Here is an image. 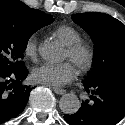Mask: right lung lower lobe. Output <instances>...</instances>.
Instances as JSON below:
<instances>
[{
  "label": "right lung lower lobe",
  "mask_w": 125,
  "mask_h": 125,
  "mask_svg": "<svg viewBox=\"0 0 125 125\" xmlns=\"http://www.w3.org/2000/svg\"><path fill=\"white\" fill-rule=\"evenodd\" d=\"M27 69H7L0 66V122L19 115L25 108L31 88L23 85L27 77Z\"/></svg>",
  "instance_id": "obj_1"
}]
</instances>
